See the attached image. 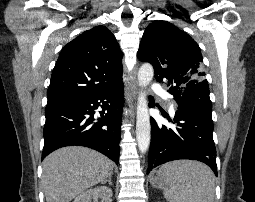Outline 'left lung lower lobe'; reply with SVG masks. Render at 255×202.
I'll list each match as a JSON object with an SVG mask.
<instances>
[{"label":"left lung lower lobe","instance_id":"1","mask_svg":"<svg viewBox=\"0 0 255 202\" xmlns=\"http://www.w3.org/2000/svg\"><path fill=\"white\" fill-rule=\"evenodd\" d=\"M149 106L154 101L149 97ZM175 127L158 125L151 118V145L147 173L154 167L178 159L198 160L207 164L217 176L216 149L213 141L211 113L178 108L175 113Z\"/></svg>","mask_w":255,"mask_h":202}]
</instances>
